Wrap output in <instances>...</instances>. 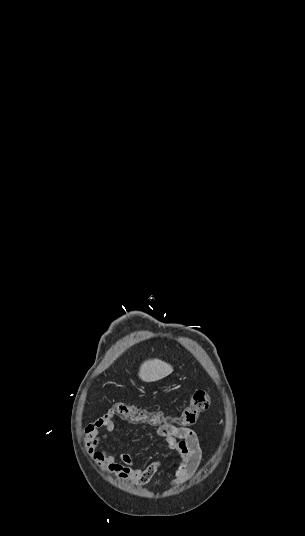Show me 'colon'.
<instances>
[{
    "label": "colon",
    "mask_w": 305,
    "mask_h": 536,
    "mask_svg": "<svg viewBox=\"0 0 305 536\" xmlns=\"http://www.w3.org/2000/svg\"><path fill=\"white\" fill-rule=\"evenodd\" d=\"M210 404V395L206 390H197L193 400L185 407L176 422L183 427H191L197 424L199 416L208 410ZM115 415L118 422H123L126 418L132 421H141L147 419L150 422L158 424H170L173 419L164 415L162 411L156 413L142 409L132 403H120L115 406Z\"/></svg>",
    "instance_id": "colon-1"
}]
</instances>
